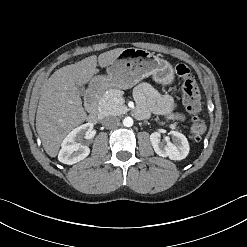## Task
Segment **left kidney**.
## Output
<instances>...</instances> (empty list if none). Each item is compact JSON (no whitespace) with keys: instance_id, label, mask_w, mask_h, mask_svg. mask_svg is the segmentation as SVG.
Segmentation results:
<instances>
[{"instance_id":"5707ae66","label":"left kidney","mask_w":247,"mask_h":247,"mask_svg":"<svg viewBox=\"0 0 247 247\" xmlns=\"http://www.w3.org/2000/svg\"><path fill=\"white\" fill-rule=\"evenodd\" d=\"M172 142L167 137L161 141L159 132L150 135V141L156 154L162 157H169L171 160H182L189 153V143L187 138L177 131H171Z\"/></svg>"}]
</instances>
